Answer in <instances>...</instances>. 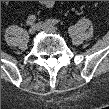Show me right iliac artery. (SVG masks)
<instances>
[{"instance_id": "82829eb1", "label": "right iliac artery", "mask_w": 109, "mask_h": 109, "mask_svg": "<svg viewBox=\"0 0 109 109\" xmlns=\"http://www.w3.org/2000/svg\"><path fill=\"white\" fill-rule=\"evenodd\" d=\"M36 21V16L35 15H30L27 18V25H32Z\"/></svg>"}]
</instances>
